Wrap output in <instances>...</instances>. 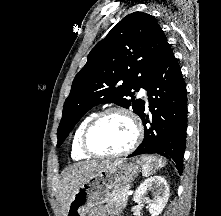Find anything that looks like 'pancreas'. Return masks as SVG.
<instances>
[{
	"mask_svg": "<svg viewBox=\"0 0 221 216\" xmlns=\"http://www.w3.org/2000/svg\"><path fill=\"white\" fill-rule=\"evenodd\" d=\"M129 188L130 187L126 185L118 189L116 193H114L112 199L110 200V203H114L115 205L122 207V208L126 207L127 200H128L127 192Z\"/></svg>",
	"mask_w": 221,
	"mask_h": 216,
	"instance_id": "pancreas-1",
	"label": "pancreas"
}]
</instances>
